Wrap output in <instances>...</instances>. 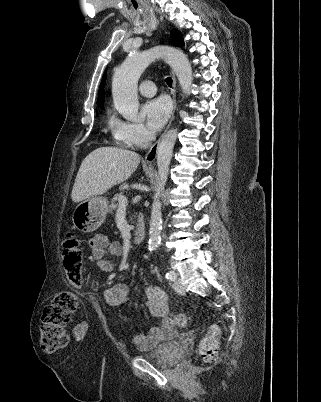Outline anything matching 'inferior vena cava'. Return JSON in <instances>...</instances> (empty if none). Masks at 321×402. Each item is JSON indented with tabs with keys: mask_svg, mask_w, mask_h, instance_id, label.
Here are the masks:
<instances>
[{
	"mask_svg": "<svg viewBox=\"0 0 321 402\" xmlns=\"http://www.w3.org/2000/svg\"><path fill=\"white\" fill-rule=\"evenodd\" d=\"M151 138H152V139H154V138H155V135H154V133H152V134H151Z\"/></svg>",
	"mask_w": 321,
	"mask_h": 402,
	"instance_id": "obj_1",
	"label": "inferior vena cava"
}]
</instances>
